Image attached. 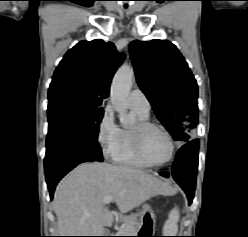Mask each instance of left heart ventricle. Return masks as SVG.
Returning <instances> with one entry per match:
<instances>
[{"mask_svg": "<svg viewBox=\"0 0 248 237\" xmlns=\"http://www.w3.org/2000/svg\"><path fill=\"white\" fill-rule=\"evenodd\" d=\"M143 149L148 159L152 162H163L170 154L168 139L156 129H150L144 134Z\"/></svg>", "mask_w": 248, "mask_h": 237, "instance_id": "obj_1", "label": "left heart ventricle"}]
</instances>
